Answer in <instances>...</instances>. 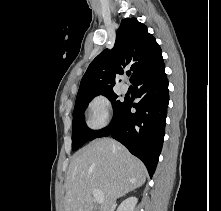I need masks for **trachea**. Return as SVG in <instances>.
<instances>
[{"mask_svg":"<svg viewBox=\"0 0 221 211\" xmlns=\"http://www.w3.org/2000/svg\"><path fill=\"white\" fill-rule=\"evenodd\" d=\"M130 74H131L130 72L127 73L128 76H130Z\"/></svg>","mask_w":221,"mask_h":211,"instance_id":"3493384b","label":"trachea"}]
</instances>
